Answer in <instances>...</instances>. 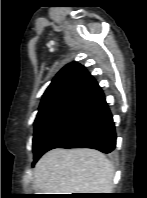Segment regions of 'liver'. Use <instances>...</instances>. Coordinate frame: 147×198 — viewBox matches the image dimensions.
<instances>
[{"label": "liver", "instance_id": "1", "mask_svg": "<svg viewBox=\"0 0 147 198\" xmlns=\"http://www.w3.org/2000/svg\"><path fill=\"white\" fill-rule=\"evenodd\" d=\"M114 168L94 149H53L34 169V182L43 194L110 193Z\"/></svg>", "mask_w": 147, "mask_h": 198}]
</instances>
